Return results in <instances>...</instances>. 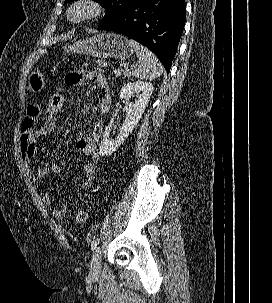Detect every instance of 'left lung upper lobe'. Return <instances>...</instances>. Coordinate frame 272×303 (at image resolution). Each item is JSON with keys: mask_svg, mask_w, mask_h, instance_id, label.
Returning <instances> with one entry per match:
<instances>
[{"mask_svg": "<svg viewBox=\"0 0 272 303\" xmlns=\"http://www.w3.org/2000/svg\"><path fill=\"white\" fill-rule=\"evenodd\" d=\"M73 0H66L65 3L71 2ZM100 2L106 8V15L101 20L100 25L113 19L114 17L122 14L132 5H134L138 0H96Z\"/></svg>", "mask_w": 272, "mask_h": 303, "instance_id": "obj_1", "label": "left lung upper lobe"}]
</instances>
